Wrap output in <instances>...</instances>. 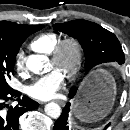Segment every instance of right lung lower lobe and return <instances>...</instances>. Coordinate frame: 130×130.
Returning <instances> with one entry per match:
<instances>
[{
  "mask_svg": "<svg viewBox=\"0 0 130 130\" xmlns=\"http://www.w3.org/2000/svg\"><path fill=\"white\" fill-rule=\"evenodd\" d=\"M10 86L0 85V130H19V117L26 111L36 109L39 104ZM18 104L9 106L7 101L16 98Z\"/></svg>",
  "mask_w": 130,
  "mask_h": 130,
  "instance_id": "98d812e1",
  "label": "right lung lower lobe"
}]
</instances>
